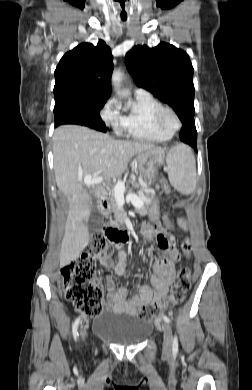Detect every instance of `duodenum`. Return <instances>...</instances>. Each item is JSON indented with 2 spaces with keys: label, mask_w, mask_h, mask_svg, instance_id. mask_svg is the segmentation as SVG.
<instances>
[{
  "label": "duodenum",
  "mask_w": 252,
  "mask_h": 390,
  "mask_svg": "<svg viewBox=\"0 0 252 390\" xmlns=\"http://www.w3.org/2000/svg\"><path fill=\"white\" fill-rule=\"evenodd\" d=\"M103 205L106 208L107 213L111 214L110 206H109V204H108L106 199L103 200ZM110 229H112L115 232V234H116V237L113 238V241L116 244H118V245L119 244H123V243L127 242L130 239L127 231L117 229V228L114 227V225L112 227H110Z\"/></svg>",
  "instance_id": "1"
}]
</instances>
